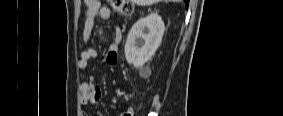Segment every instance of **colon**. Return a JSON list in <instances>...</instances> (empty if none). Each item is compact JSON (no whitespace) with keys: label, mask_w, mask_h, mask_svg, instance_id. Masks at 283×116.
I'll list each match as a JSON object with an SVG mask.
<instances>
[{"label":"colon","mask_w":283,"mask_h":116,"mask_svg":"<svg viewBox=\"0 0 283 116\" xmlns=\"http://www.w3.org/2000/svg\"><path fill=\"white\" fill-rule=\"evenodd\" d=\"M111 9L120 15L130 16L133 13V3L130 0H111L109 1ZM132 110L129 109L127 115H132Z\"/></svg>","instance_id":"5ec220e1"}]
</instances>
